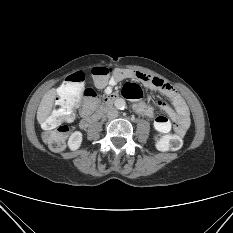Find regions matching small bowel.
I'll list each match as a JSON object with an SVG mask.
<instances>
[{
  "label": "small bowel",
  "instance_id": "1",
  "mask_svg": "<svg viewBox=\"0 0 233 233\" xmlns=\"http://www.w3.org/2000/svg\"><path fill=\"white\" fill-rule=\"evenodd\" d=\"M131 79L135 82L141 83L147 88L158 91L166 96L172 103L173 108L162 101L153 103H145L142 101V92L138 84L128 83L129 90L124 94L127 98L133 101V109L138 114L145 117H153L157 109L164 112V115H158L154 118V128L162 134L170 132L172 129L178 135H183L190 125L189 111L185 101L178 93V91L164 80L153 77L151 75L142 73L140 71L117 68L110 77L107 85L104 88L106 95L112 93L113 87L118 83ZM95 105H91L88 101H84L80 108V115L83 119L90 117Z\"/></svg>",
  "mask_w": 233,
  "mask_h": 233
}]
</instances>
